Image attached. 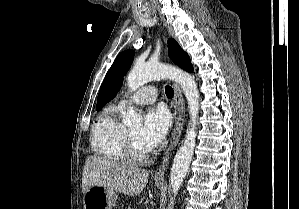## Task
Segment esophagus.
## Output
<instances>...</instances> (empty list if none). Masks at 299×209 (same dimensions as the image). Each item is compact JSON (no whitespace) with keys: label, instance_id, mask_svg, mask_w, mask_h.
<instances>
[{"label":"esophagus","instance_id":"34e87169","mask_svg":"<svg viewBox=\"0 0 299 209\" xmlns=\"http://www.w3.org/2000/svg\"><path fill=\"white\" fill-rule=\"evenodd\" d=\"M174 98L172 101L174 126L170 136V142L166 149H164L161 163L154 173L155 180H164V175L175 147L178 143L185 119V103L182 91L177 83L173 84Z\"/></svg>","mask_w":299,"mask_h":209}]
</instances>
